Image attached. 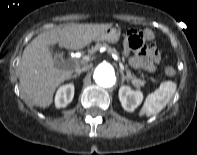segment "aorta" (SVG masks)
<instances>
[{
  "instance_id": "762f6f07",
  "label": "aorta",
  "mask_w": 197,
  "mask_h": 155,
  "mask_svg": "<svg viewBox=\"0 0 197 155\" xmlns=\"http://www.w3.org/2000/svg\"><path fill=\"white\" fill-rule=\"evenodd\" d=\"M96 84L103 88H111L116 82V75L113 66L108 62L100 63L93 74Z\"/></svg>"
}]
</instances>
